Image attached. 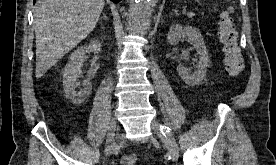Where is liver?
<instances>
[{"instance_id": "6515ba94", "label": "liver", "mask_w": 276, "mask_h": 165, "mask_svg": "<svg viewBox=\"0 0 276 165\" xmlns=\"http://www.w3.org/2000/svg\"><path fill=\"white\" fill-rule=\"evenodd\" d=\"M105 0H38L34 7L36 78L95 28Z\"/></svg>"}]
</instances>
